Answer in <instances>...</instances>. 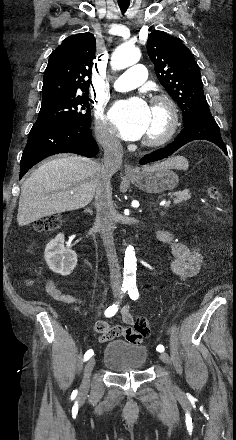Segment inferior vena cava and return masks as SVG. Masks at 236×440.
Returning <instances> with one entry per match:
<instances>
[{"mask_svg": "<svg viewBox=\"0 0 236 440\" xmlns=\"http://www.w3.org/2000/svg\"><path fill=\"white\" fill-rule=\"evenodd\" d=\"M99 141L104 148V159L95 191L96 225L106 249L111 287L120 289L122 279L113 237L115 224L110 180L122 164L123 147L120 140L107 131L100 135Z\"/></svg>", "mask_w": 236, "mask_h": 440, "instance_id": "inferior-vena-cava-1", "label": "inferior vena cava"}]
</instances>
